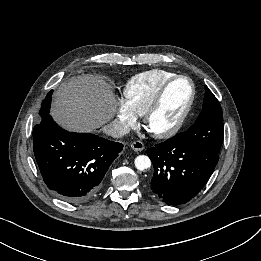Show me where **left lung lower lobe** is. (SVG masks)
Here are the masks:
<instances>
[{"mask_svg": "<svg viewBox=\"0 0 261 261\" xmlns=\"http://www.w3.org/2000/svg\"><path fill=\"white\" fill-rule=\"evenodd\" d=\"M154 166L151 190L167 205H181L204 187L219 160L218 153L195 146L182 132L148 150Z\"/></svg>", "mask_w": 261, "mask_h": 261, "instance_id": "1", "label": "left lung lower lobe"}]
</instances>
